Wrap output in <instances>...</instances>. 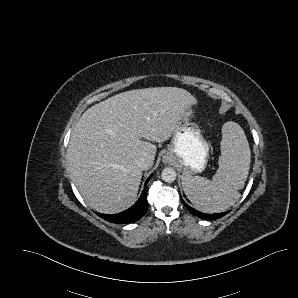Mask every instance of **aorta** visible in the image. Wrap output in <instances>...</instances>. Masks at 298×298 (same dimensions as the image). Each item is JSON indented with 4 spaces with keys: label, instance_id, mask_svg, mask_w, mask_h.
Masks as SVG:
<instances>
[{
    "label": "aorta",
    "instance_id": "obj_1",
    "mask_svg": "<svg viewBox=\"0 0 298 298\" xmlns=\"http://www.w3.org/2000/svg\"><path fill=\"white\" fill-rule=\"evenodd\" d=\"M161 178L164 182L171 183L177 178V172L173 167H165L161 171Z\"/></svg>",
    "mask_w": 298,
    "mask_h": 298
}]
</instances>
